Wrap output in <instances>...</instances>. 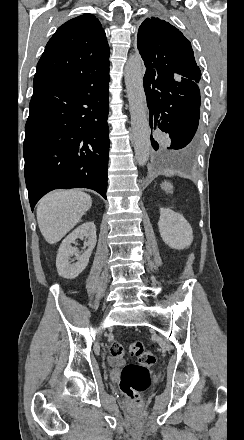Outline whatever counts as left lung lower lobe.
<instances>
[{
	"mask_svg": "<svg viewBox=\"0 0 244 440\" xmlns=\"http://www.w3.org/2000/svg\"><path fill=\"white\" fill-rule=\"evenodd\" d=\"M197 83L177 78L171 72L147 68L143 84L150 127L168 133L171 138L169 147L159 149L151 135L152 146L158 153L193 149L200 117V90Z\"/></svg>",
	"mask_w": 244,
	"mask_h": 440,
	"instance_id": "obj_1",
	"label": "left lung lower lobe"
}]
</instances>
